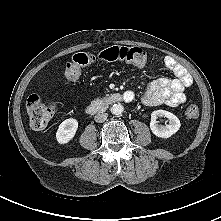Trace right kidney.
Wrapping results in <instances>:
<instances>
[{"mask_svg":"<svg viewBox=\"0 0 221 221\" xmlns=\"http://www.w3.org/2000/svg\"><path fill=\"white\" fill-rule=\"evenodd\" d=\"M78 122L76 119L70 118L63 121L56 132V139L59 144H66L76 134Z\"/></svg>","mask_w":221,"mask_h":221,"instance_id":"obj_1","label":"right kidney"}]
</instances>
